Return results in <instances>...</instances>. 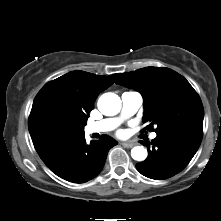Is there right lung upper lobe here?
I'll return each mask as SVG.
<instances>
[{"label": "right lung upper lobe", "mask_w": 221, "mask_h": 221, "mask_svg": "<svg viewBox=\"0 0 221 221\" xmlns=\"http://www.w3.org/2000/svg\"><path fill=\"white\" fill-rule=\"evenodd\" d=\"M117 75L100 76L76 70L45 84L33 101L28 120L33 144L51 139L44 134L42 124L52 112H65L87 122L97 96L114 83Z\"/></svg>", "instance_id": "cb5924a9"}]
</instances>
